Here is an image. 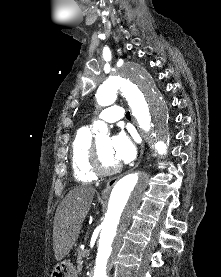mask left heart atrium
Returning a JSON list of instances; mask_svg holds the SVG:
<instances>
[{
  "mask_svg": "<svg viewBox=\"0 0 221 277\" xmlns=\"http://www.w3.org/2000/svg\"><path fill=\"white\" fill-rule=\"evenodd\" d=\"M110 148L113 157L118 163H128L136 156V147L134 143L124 133H120L110 140Z\"/></svg>",
  "mask_w": 221,
  "mask_h": 277,
  "instance_id": "1",
  "label": "left heart atrium"
}]
</instances>
